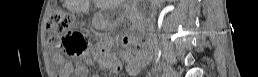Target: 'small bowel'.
<instances>
[{
	"label": "small bowel",
	"mask_w": 258,
	"mask_h": 77,
	"mask_svg": "<svg viewBox=\"0 0 258 77\" xmlns=\"http://www.w3.org/2000/svg\"><path fill=\"white\" fill-rule=\"evenodd\" d=\"M100 52L101 51H95V54ZM105 56L110 69L114 72H119L121 69L120 61L110 53H107ZM151 59L152 55L148 52L138 53L136 55L132 53H125L123 55V60L126 65V71L132 74L139 73L150 63ZM65 69L67 70V68Z\"/></svg>",
	"instance_id": "c3829d8e"
}]
</instances>
